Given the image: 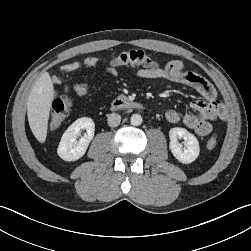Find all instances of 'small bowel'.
Segmentation results:
<instances>
[{
    "label": "small bowel",
    "instance_id": "obj_1",
    "mask_svg": "<svg viewBox=\"0 0 251 251\" xmlns=\"http://www.w3.org/2000/svg\"><path fill=\"white\" fill-rule=\"evenodd\" d=\"M97 64V58L88 57L82 61H74L61 67L60 75H55L53 81L59 84L62 81V75L73 72L82 66L93 67ZM137 76L141 79H167L176 83L187 85L196 90L203 100H196L191 103V112L181 115L176 110L170 109L165 117L170 123L183 124L193 130L199 136L208 135L213 128L212 123L225 117L224 109L217 99V93L210 82L199 74L190 71L180 60L169 61L162 68H141L137 71ZM74 91L79 96H85L90 92L88 83L74 85Z\"/></svg>",
    "mask_w": 251,
    "mask_h": 251
}]
</instances>
